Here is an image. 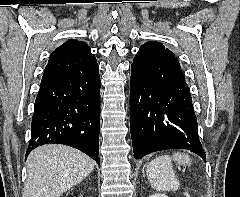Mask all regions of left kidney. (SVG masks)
<instances>
[{"instance_id": "obj_1", "label": "left kidney", "mask_w": 240, "mask_h": 197, "mask_svg": "<svg viewBox=\"0 0 240 197\" xmlns=\"http://www.w3.org/2000/svg\"><path fill=\"white\" fill-rule=\"evenodd\" d=\"M149 197H168V196L165 194H161V193H155V194L150 195Z\"/></svg>"}]
</instances>
